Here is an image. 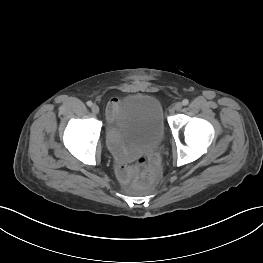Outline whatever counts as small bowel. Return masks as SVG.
I'll use <instances>...</instances> for the list:
<instances>
[{
    "label": "small bowel",
    "mask_w": 263,
    "mask_h": 263,
    "mask_svg": "<svg viewBox=\"0 0 263 263\" xmlns=\"http://www.w3.org/2000/svg\"><path fill=\"white\" fill-rule=\"evenodd\" d=\"M119 108V100L117 98L111 99L107 107V117L109 122H112ZM110 145L115 154L117 161V173L120 180L123 183H129L130 180L138 174V165L131 166L130 162L135 160L137 156L132 155L124 151L117 143L115 135L111 133L110 135Z\"/></svg>",
    "instance_id": "obj_1"
}]
</instances>
